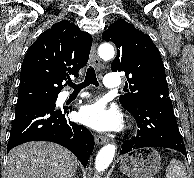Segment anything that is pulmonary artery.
Returning a JSON list of instances; mask_svg holds the SVG:
<instances>
[{"label":"pulmonary artery","mask_w":194,"mask_h":178,"mask_svg":"<svg viewBox=\"0 0 194 178\" xmlns=\"http://www.w3.org/2000/svg\"><path fill=\"white\" fill-rule=\"evenodd\" d=\"M103 83L105 87L110 89H115L121 86V80L117 74H107L103 79ZM80 96L86 97L87 94L82 93Z\"/></svg>","instance_id":"1"}]
</instances>
